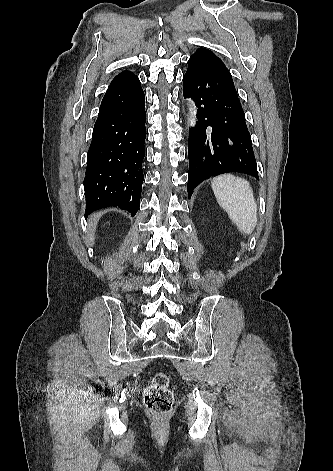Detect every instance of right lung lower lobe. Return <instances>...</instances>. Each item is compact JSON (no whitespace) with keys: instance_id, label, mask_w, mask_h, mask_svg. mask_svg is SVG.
<instances>
[{"instance_id":"98d812e1","label":"right lung lower lobe","mask_w":333,"mask_h":471,"mask_svg":"<svg viewBox=\"0 0 333 471\" xmlns=\"http://www.w3.org/2000/svg\"><path fill=\"white\" fill-rule=\"evenodd\" d=\"M145 96L133 73L110 84L101 102L87 154L85 216L119 206L134 216L144 180Z\"/></svg>"}]
</instances>
